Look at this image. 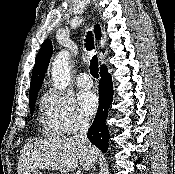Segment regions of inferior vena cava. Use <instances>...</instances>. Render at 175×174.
Returning a JSON list of instances; mask_svg holds the SVG:
<instances>
[{
	"label": "inferior vena cava",
	"mask_w": 175,
	"mask_h": 174,
	"mask_svg": "<svg viewBox=\"0 0 175 174\" xmlns=\"http://www.w3.org/2000/svg\"><path fill=\"white\" fill-rule=\"evenodd\" d=\"M89 129V121L85 118H78L77 121L75 122L74 125V130H73V139L77 142L82 144L87 148L91 156L93 157V163H92V168H93V173L95 174V161H96V148L89 142L87 139V132Z\"/></svg>",
	"instance_id": "obj_1"
}]
</instances>
